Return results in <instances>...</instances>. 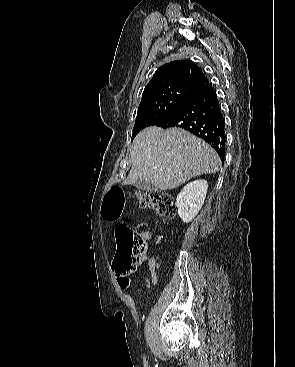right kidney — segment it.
Wrapping results in <instances>:
<instances>
[{"label":"right kidney","mask_w":295,"mask_h":367,"mask_svg":"<svg viewBox=\"0 0 295 367\" xmlns=\"http://www.w3.org/2000/svg\"><path fill=\"white\" fill-rule=\"evenodd\" d=\"M208 189L205 180H195L184 186L176 199L178 215L184 223L191 222L201 209Z\"/></svg>","instance_id":"right-kidney-1"}]
</instances>
